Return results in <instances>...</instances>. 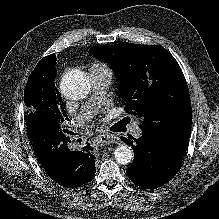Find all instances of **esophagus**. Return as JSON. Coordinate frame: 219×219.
Returning a JSON list of instances; mask_svg holds the SVG:
<instances>
[{
    "mask_svg": "<svg viewBox=\"0 0 219 219\" xmlns=\"http://www.w3.org/2000/svg\"><path fill=\"white\" fill-rule=\"evenodd\" d=\"M115 137L109 134H99L98 141L101 145H107L109 143L115 142Z\"/></svg>",
    "mask_w": 219,
    "mask_h": 219,
    "instance_id": "obj_1",
    "label": "esophagus"
}]
</instances>
